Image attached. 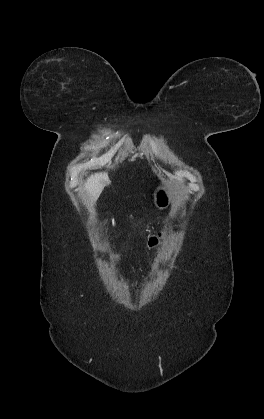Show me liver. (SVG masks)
<instances>
[{"label":"liver","instance_id":"6515ba94","mask_svg":"<svg viewBox=\"0 0 264 419\" xmlns=\"http://www.w3.org/2000/svg\"><path fill=\"white\" fill-rule=\"evenodd\" d=\"M109 181L106 173H96L90 176L85 183V190L90 197V204L93 205L99 198L105 183Z\"/></svg>","mask_w":264,"mask_h":419}]
</instances>
